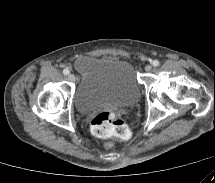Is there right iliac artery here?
<instances>
[{"instance_id":"1","label":"right iliac artery","mask_w":215,"mask_h":183,"mask_svg":"<svg viewBox=\"0 0 215 183\" xmlns=\"http://www.w3.org/2000/svg\"><path fill=\"white\" fill-rule=\"evenodd\" d=\"M63 74H64V75H68V74H69V70H68L67 68L64 69V70H63Z\"/></svg>"}]
</instances>
